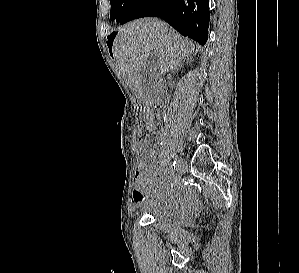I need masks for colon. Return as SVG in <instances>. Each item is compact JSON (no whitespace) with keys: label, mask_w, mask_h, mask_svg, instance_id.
Segmentation results:
<instances>
[{"label":"colon","mask_w":299,"mask_h":273,"mask_svg":"<svg viewBox=\"0 0 299 273\" xmlns=\"http://www.w3.org/2000/svg\"><path fill=\"white\" fill-rule=\"evenodd\" d=\"M140 147L144 150L151 148V139L149 136H143L139 139Z\"/></svg>","instance_id":"obj_1"}]
</instances>
